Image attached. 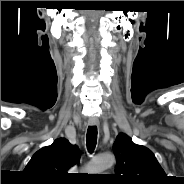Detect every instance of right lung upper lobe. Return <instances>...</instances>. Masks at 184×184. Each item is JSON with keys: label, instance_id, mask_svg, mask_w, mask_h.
<instances>
[{"label": "right lung upper lobe", "instance_id": "obj_1", "mask_svg": "<svg viewBox=\"0 0 184 184\" xmlns=\"http://www.w3.org/2000/svg\"><path fill=\"white\" fill-rule=\"evenodd\" d=\"M77 146L65 138L56 139L52 145L37 151L24 172L33 182L40 184H62L68 180L67 170L79 161Z\"/></svg>", "mask_w": 184, "mask_h": 184}]
</instances>
